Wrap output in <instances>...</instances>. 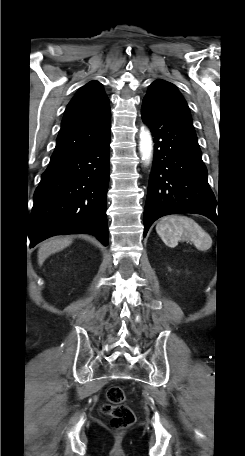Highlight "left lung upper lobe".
Wrapping results in <instances>:
<instances>
[{"label": "left lung upper lobe", "instance_id": "1", "mask_svg": "<svg viewBox=\"0 0 245 456\" xmlns=\"http://www.w3.org/2000/svg\"><path fill=\"white\" fill-rule=\"evenodd\" d=\"M144 100L164 111H169L191 119L189 107L178 89L170 82L156 80L150 86Z\"/></svg>", "mask_w": 245, "mask_h": 456}]
</instances>
